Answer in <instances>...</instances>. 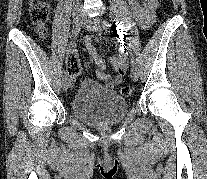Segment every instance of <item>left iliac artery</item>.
Instances as JSON below:
<instances>
[{"mask_svg":"<svg viewBox=\"0 0 207 179\" xmlns=\"http://www.w3.org/2000/svg\"><path fill=\"white\" fill-rule=\"evenodd\" d=\"M103 23L108 29L115 28V25H114L113 22H108L107 23V22L104 21ZM116 25H117V23H116ZM130 63L132 64V66L136 65V61H135L134 57H131Z\"/></svg>","mask_w":207,"mask_h":179,"instance_id":"obj_1","label":"left iliac artery"}]
</instances>
